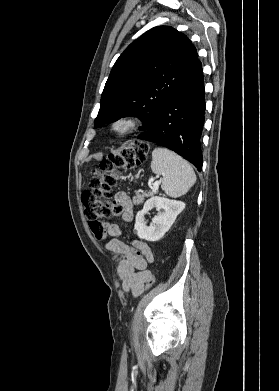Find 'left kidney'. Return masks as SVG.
Wrapping results in <instances>:
<instances>
[{
  "mask_svg": "<svg viewBox=\"0 0 279 391\" xmlns=\"http://www.w3.org/2000/svg\"><path fill=\"white\" fill-rule=\"evenodd\" d=\"M152 208H156L158 213L153 218V224L147 226L144 216ZM185 208V203L165 197L155 196L148 199L141 211L136 215L134 229L140 239L146 241H158L170 229L176 217Z\"/></svg>",
  "mask_w": 279,
  "mask_h": 391,
  "instance_id": "1",
  "label": "left kidney"
}]
</instances>
